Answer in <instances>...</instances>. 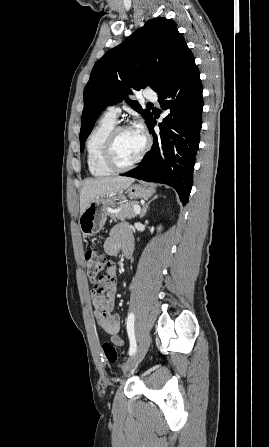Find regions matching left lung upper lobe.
I'll return each instance as SVG.
<instances>
[{"instance_id": "left-lung-upper-lobe-1", "label": "left lung upper lobe", "mask_w": 269, "mask_h": 447, "mask_svg": "<svg viewBox=\"0 0 269 447\" xmlns=\"http://www.w3.org/2000/svg\"><path fill=\"white\" fill-rule=\"evenodd\" d=\"M186 49L177 25L166 18H155L99 59L84 90L80 150L83 151L95 121L107 106L125 99L132 90L146 86L159 93L177 69ZM127 101L148 124L151 112L142 109L137 101Z\"/></svg>"}]
</instances>
